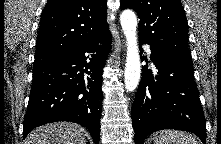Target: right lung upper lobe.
I'll return each mask as SVG.
<instances>
[{"instance_id": "1", "label": "right lung upper lobe", "mask_w": 221, "mask_h": 144, "mask_svg": "<svg viewBox=\"0 0 221 144\" xmlns=\"http://www.w3.org/2000/svg\"><path fill=\"white\" fill-rule=\"evenodd\" d=\"M106 0H48L35 55H59L109 30Z\"/></svg>"}]
</instances>
